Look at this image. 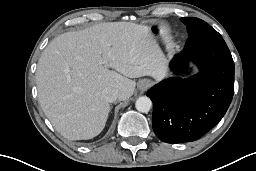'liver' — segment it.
<instances>
[{"label": "liver", "mask_w": 256, "mask_h": 171, "mask_svg": "<svg viewBox=\"0 0 256 171\" xmlns=\"http://www.w3.org/2000/svg\"><path fill=\"white\" fill-rule=\"evenodd\" d=\"M166 62L145 25L108 22L66 32L39 58V103L62 136L91 139L104 129L110 111L103 90L114 88L120 101L127 100L136 86L132 78H163Z\"/></svg>", "instance_id": "6515ba94"}]
</instances>
